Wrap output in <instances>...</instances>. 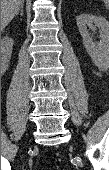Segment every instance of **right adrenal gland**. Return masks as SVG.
<instances>
[{
	"label": "right adrenal gland",
	"mask_w": 109,
	"mask_h": 170,
	"mask_svg": "<svg viewBox=\"0 0 109 170\" xmlns=\"http://www.w3.org/2000/svg\"><path fill=\"white\" fill-rule=\"evenodd\" d=\"M23 8H24V4L22 3V4H21V7H20V10L17 12V15H18L19 12H20V15L23 16V14H24V13H23Z\"/></svg>",
	"instance_id": "1"
}]
</instances>
